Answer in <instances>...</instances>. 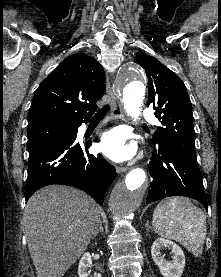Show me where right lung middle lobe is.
<instances>
[{
  "label": "right lung middle lobe",
  "mask_w": 221,
  "mask_h": 277,
  "mask_svg": "<svg viewBox=\"0 0 221 277\" xmlns=\"http://www.w3.org/2000/svg\"><path fill=\"white\" fill-rule=\"evenodd\" d=\"M72 128L63 122L49 121L28 125V151L33 152L51 142L63 138Z\"/></svg>",
  "instance_id": "right-lung-middle-lobe-1"
}]
</instances>
